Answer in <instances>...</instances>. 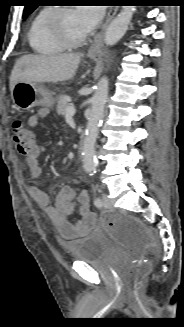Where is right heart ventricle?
Wrapping results in <instances>:
<instances>
[{
    "mask_svg": "<svg viewBox=\"0 0 184 327\" xmlns=\"http://www.w3.org/2000/svg\"><path fill=\"white\" fill-rule=\"evenodd\" d=\"M53 8L45 7L39 10L29 25L27 37L30 47L37 53L43 55H55L66 50L48 29V18Z\"/></svg>",
    "mask_w": 184,
    "mask_h": 327,
    "instance_id": "1",
    "label": "right heart ventricle"
}]
</instances>
